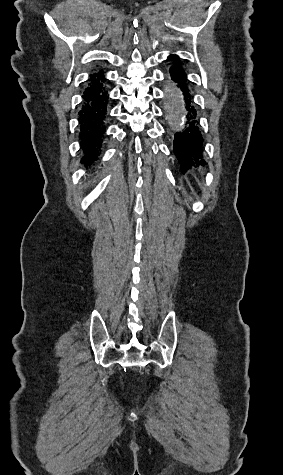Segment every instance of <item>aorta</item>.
Here are the masks:
<instances>
[{"label": "aorta", "mask_w": 283, "mask_h": 475, "mask_svg": "<svg viewBox=\"0 0 283 475\" xmlns=\"http://www.w3.org/2000/svg\"><path fill=\"white\" fill-rule=\"evenodd\" d=\"M171 101L168 106V118L178 128H182L185 122V109L182 102L181 92L177 87L169 85Z\"/></svg>", "instance_id": "1"}]
</instances>
